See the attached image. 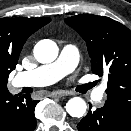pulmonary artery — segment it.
<instances>
[{
  "mask_svg": "<svg viewBox=\"0 0 131 131\" xmlns=\"http://www.w3.org/2000/svg\"><path fill=\"white\" fill-rule=\"evenodd\" d=\"M79 61V52L75 45H65L56 61L39 66L33 70L18 73L13 84L16 87H39L53 84L73 72ZM105 86H99L92 92V98L100 101L105 93Z\"/></svg>",
  "mask_w": 131,
  "mask_h": 131,
  "instance_id": "e3ab8cb5",
  "label": "pulmonary artery"
}]
</instances>
